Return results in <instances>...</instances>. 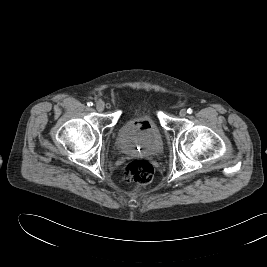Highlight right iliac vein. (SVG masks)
Returning <instances> with one entry per match:
<instances>
[{"mask_svg": "<svg viewBox=\"0 0 267 267\" xmlns=\"http://www.w3.org/2000/svg\"><path fill=\"white\" fill-rule=\"evenodd\" d=\"M95 107H96V110L98 112H102L104 110V103L103 102H97Z\"/></svg>", "mask_w": 267, "mask_h": 267, "instance_id": "right-iliac-vein-1", "label": "right iliac vein"}]
</instances>
